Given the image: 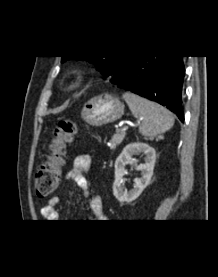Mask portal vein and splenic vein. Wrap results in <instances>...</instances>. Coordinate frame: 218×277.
<instances>
[{
  "label": "portal vein and splenic vein",
  "mask_w": 218,
  "mask_h": 277,
  "mask_svg": "<svg viewBox=\"0 0 218 277\" xmlns=\"http://www.w3.org/2000/svg\"><path fill=\"white\" fill-rule=\"evenodd\" d=\"M127 126L126 127H123L122 129H121V132H124V131H126L127 130Z\"/></svg>",
  "instance_id": "18ae733b"
}]
</instances>
